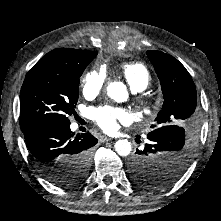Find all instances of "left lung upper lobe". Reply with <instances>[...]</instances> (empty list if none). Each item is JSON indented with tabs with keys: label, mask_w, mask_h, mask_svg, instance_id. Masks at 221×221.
I'll return each mask as SVG.
<instances>
[{
	"label": "left lung upper lobe",
	"mask_w": 221,
	"mask_h": 221,
	"mask_svg": "<svg viewBox=\"0 0 221 221\" xmlns=\"http://www.w3.org/2000/svg\"><path fill=\"white\" fill-rule=\"evenodd\" d=\"M147 56L160 79L164 103L155 119L158 127L147 135L150 142L140 153L148 169L141 175L131 173V178L145 188H162L176 181L191 160L192 144L185 141L184 128L191 133L199 121L197 94L189 72L177 59L155 50L147 51ZM153 173L165 177L150 184Z\"/></svg>",
	"instance_id": "1"
}]
</instances>
